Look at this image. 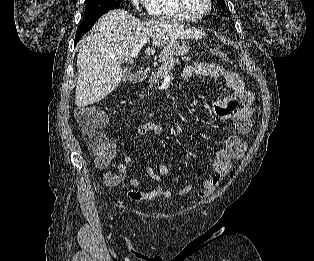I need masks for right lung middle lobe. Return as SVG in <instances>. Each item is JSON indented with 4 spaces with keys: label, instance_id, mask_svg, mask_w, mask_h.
Masks as SVG:
<instances>
[{
    "label": "right lung middle lobe",
    "instance_id": "right-lung-middle-lobe-1",
    "mask_svg": "<svg viewBox=\"0 0 314 261\" xmlns=\"http://www.w3.org/2000/svg\"><path fill=\"white\" fill-rule=\"evenodd\" d=\"M123 0H87L84 18L81 24H88L101 15L120 5Z\"/></svg>",
    "mask_w": 314,
    "mask_h": 261
}]
</instances>
